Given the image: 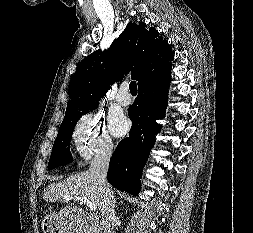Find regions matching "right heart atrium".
Here are the masks:
<instances>
[{"mask_svg":"<svg viewBox=\"0 0 253 233\" xmlns=\"http://www.w3.org/2000/svg\"><path fill=\"white\" fill-rule=\"evenodd\" d=\"M72 136L76 151L84 160L109 155L113 150L112 139L99 114L83 115L75 124Z\"/></svg>","mask_w":253,"mask_h":233,"instance_id":"obj_1","label":"right heart atrium"}]
</instances>
